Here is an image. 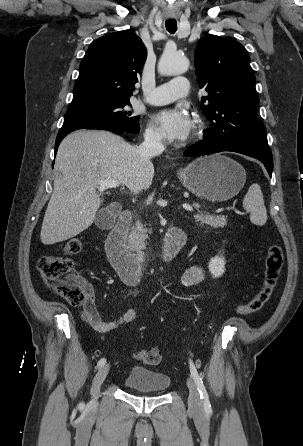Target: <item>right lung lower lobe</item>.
Segmentation results:
<instances>
[{"label": "right lung lower lobe", "instance_id": "1", "mask_svg": "<svg viewBox=\"0 0 303 446\" xmlns=\"http://www.w3.org/2000/svg\"><path fill=\"white\" fill-rule=\"evenodd\" d=\"M79 129H102V130H108L111 132H114L116 134H127L130 133L121 126L114 124L112 122H106L101 120H88L83 121L74 125H71L69 127L63 128L59 131L56 143H55V151H57V148L62 141V139L69 133L79 130Z\"/></svg>", "mask_w": 303, "mask_h": 446}]
</instances>
